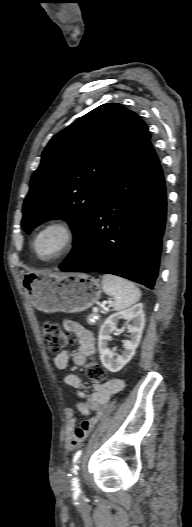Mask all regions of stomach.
Instances as JSON below:
<instances>
[{
  "label": "stomach",
  "mask_w": 192,
  "mask_h": 527,
  "mask_svg": "<svg viewBox=\"0 0 192 527\" xmlns=\"http://www.w3.org/2000/svg\"><path fill=\"white\" fill-rule=\"evenodd\" d=\"M24 286L33 306L45 313H79L93 306L101 296L99 281L82 273L27 274Z\"/></svg>",
  "instance_id": "1"
}]
</instances>
